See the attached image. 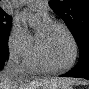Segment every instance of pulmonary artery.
<instances>
[{
    "mask_svg": "<svg viewBox=\"0 0 89 89\" xmlns=\"http://www.w3.org/2000/svg\"><path fill=\"white\" fill-rule=\"evenodd\" d=\"M31 2H35V3H43V2H46V1H40V0H33Z\"/></svg>",
    "mask_w": 89,
    "mask_h": 89,
    "instance_id": "pulmonary-artery-1",
    "label": "pulmonary artery"
}]
</instances>
